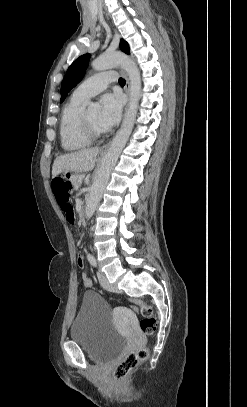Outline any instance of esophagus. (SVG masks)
Listing matches in <instances>:
<instances>
[{
  "label": "esophagus",
  "instance_id": "esophagus-1",
  "mask_svg": "<svg viewBox=\"0 0 247 407\" xmlns=\"http://www.w3.org/2000/svg\"><path fill=\"white\" fill-rule=\"evenodd\" d=\"M118 70H119V71L121 72V74L124 76L125 81H126V84H125V92H126V95H127V105H126V107H125V112H126V111H127V107H128V105H129V101H130V82H129V78H128L126 72H125L124 70H122L121 68H118ZM110 143H111V142H109V143L103 145V146L100 148V151H106V150L109 148Z\"/></svg>",
  "mask_w": 247,
  "mask_h": 407
}]
</instances>
